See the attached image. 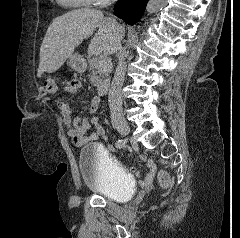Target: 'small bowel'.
<instances>
[{
	"instance_id": "c3829d8e",
	"label": "small bowel",
	"mask_w": 240,
	"mask_h": 238,
	"mask_svg": "<svg viewBox=\"0 0 240 238\" xmlns=\"http://www.w3.org/2000/svg\"><path fill=\"white\" fill-rule=\"evenodd\" d=\"M81 89L82 84L77 80L69 81L66 86V91L71 94H75ZM56 105L62 116L63 122L67 127V134L74 140L76 146L95 142L100 139V143H104V145L107 146V151H112V154L120 153V150L116 149L115 146H108L109 142L107 141V138H105L104 128L100 124L99 119L93 115L100 105V97L93 98L89 109L90 114L86 117L72 118L70 106L66 101L57 99ZM89 129H93V132L86 134ZM141 159L147 163V175H141L142 171L138 170L137 167H131L130 171L135 172L136 175H140V179H137V184H140V187H151V181L154 179L156 166L152 160L147 159L144 155Z\"/></svg>"
}]
</instances>
